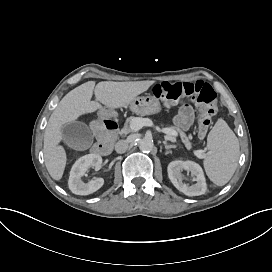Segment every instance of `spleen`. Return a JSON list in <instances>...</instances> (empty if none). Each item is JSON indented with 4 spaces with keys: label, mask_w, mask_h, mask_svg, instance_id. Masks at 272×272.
Masks as SVG:
<instances>
[{
    "label": "spleen",
    "mask_w": 272,
    "mask_h": 272,
    "mask_svg": "<svg viewBox=\"0 0 272 272\" xmlns=\"http://www.w3.org/2000/svg\"><path fill=\"white\" fill-rule=\"evenodd\" d=\"M206 149L204 171L213 184L224 186L235 173L240 156L239 141L224 120L218 119L209 132Z\"/></svg>",
    "instance_id": "obj_1"
}]
</instances>
